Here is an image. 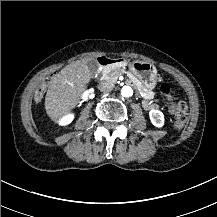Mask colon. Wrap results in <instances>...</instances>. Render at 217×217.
Wrapping results in <instances>:
<instances>
[{
    "instance_id": "5ec220e1",
    "label": "colon",
    "mask_w": 217,
    "mask_h": 217,
    "mask_svg": "<svg viewBox=\"0 0 217 217\" xmlns=\"http://www.w3.org/2000/svg\"><path fill=\"white\" fill-rule=\"evenodd\" d=\"M160 94L168 98L172 92L171 86L168 83H162L159 86ZM43 92L42 90H38L35 94V101H40L42 99ZM169 109L174 113L175 119V127L177 129L184 128L189 120V113H188V104L184 100H170L169 102Z\"/></svg>"
}]
</instances>
